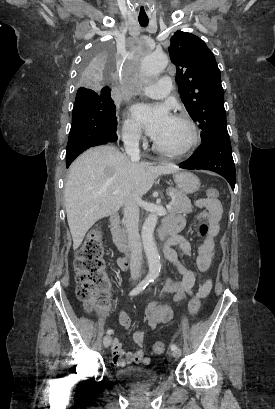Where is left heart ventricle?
<instances>
[{
  "label": "left heart ventricle",
  "instance_id": "b2bd125f",
  "mask_svg": "<svg viewBox=\"0 0 275 409\" xmlns=\"http://www.w3.org/2000/svg\"><path fill=\"white\" fill-rule=\"evenodd\" d=\"M188 135V128L184 123L169 118L152 138L163 147L178 148L186 142Z\"/></svg>",
  "mask_w": 275,
  "mask_h": 409
}]
</instances>
